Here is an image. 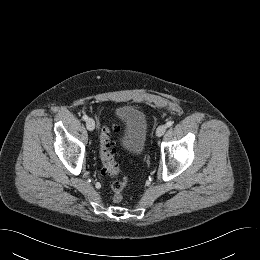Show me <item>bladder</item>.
<instances>
[{
	"label": "bladder",
	"mask_w": 260,
	"mask_h": 260,
	"mask_svg": "<svg viewBox=\"0 0 260 260\" xmlns=\"http://www.w3.org/2000/svg\"><path fill=\"white\" fill-rule=\"evenodd\" d=\"M115 114L125 128L122 139L124 148L131 154H140L144 150L148 133V122L144 113L133 106H122Z\"/></svg>",
	"instance_id": "obj_1"
}]
</instances>
